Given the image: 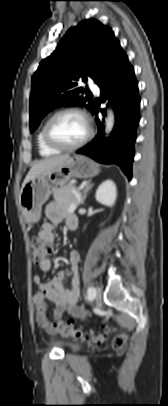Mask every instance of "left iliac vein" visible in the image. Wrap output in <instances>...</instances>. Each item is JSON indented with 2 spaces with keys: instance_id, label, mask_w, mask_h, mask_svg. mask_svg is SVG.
Instances as JSON below:
<instances>
[{
  "instance_id": "4c4485c4",
  "label": "left iliac vein",
  "mask_w": 168,
  "mask_h": 406,
  "mask_svg": "<svg viewBox=\"0 0 168 406\" xmlns=\"http://www.w3.org/2000/svg\"><path fill=\"white\" fill-rule=\"evenodd\" d=\"M100 298H101V288L97 286V287L95 288V296H94V299H95L96 301H99Z\"/></svg>"
}]
</instances>
